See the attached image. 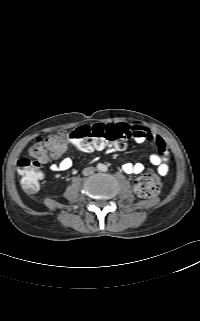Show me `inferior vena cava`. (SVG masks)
Masks as SVG:
<instances>
[{
    "mask_svg": "<svg viewBox=\"0 0 200 321\" xmlns=\"http://www.w3.org/2000/svg\"><path fill=\"white\" fill-rule=\"evenodd\" d=\"M94 171H95L94 167H87L83 170V175L85 176L91 175L94 173Z\"/></svg>",
    "mask_w": 200,
    "mask_h": 321,
    "instance_id": "602c4592",
    "label": "inferior vena cava"
}]
</instances>
